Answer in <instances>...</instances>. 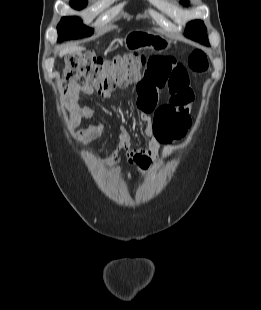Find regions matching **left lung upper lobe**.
<instances>
[{
    "mask_svg": "<svg viewBox=\"0 0 261 310\" xmlns=\"http://www.w3.org/2000/svg\"><path fill=\"white\" fill-rule=\"evenodd\" d=\"M187 5V2H184ZM206 33V27L202 21L195 20L187 24L185 35L189 38H193L196 35H202Z\"/></svg>",
    "mask_w": 261,
    "mask_h": 310,
    "instance_id": "left-lung-upper-lobe-1",
    "label": "left lung upper lobe"
}]
</instances>
